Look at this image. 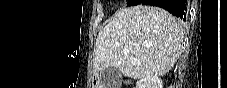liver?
<instances>
[{"label":"liver","instance_id":"1","mask_svg":"<svg viewBox=\"0 0 227 88\" xmlns=\"http://www.w3.org/2000/svg\"><path fill=\"white\" fill-rule=\"evenodd\" d=\"M183 38L180 22L162 8H121L97 36L94 72L115 67L133 79L163 76L176 63ZM123 49L130 53H123Z\"/></svg>","mask_w":227,"mask_h":88}]
</instances>
